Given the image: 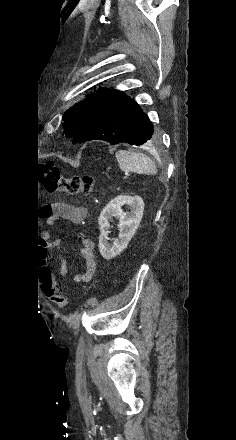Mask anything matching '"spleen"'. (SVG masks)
I'll use <instances>...</instances> for the list:
<instances>
[{
    "label": "spleen",
    "mask_w": 236,
    "mask_h": 440,
    "mask_svg": "<svg viewBox=\"0 0 236 440\" xmlns=\"http://www.w3.org/2000/svg\"><path fill=\"white\" fill-rule=\"evenodd\" d=\"M115 157L119 167L124 172H135L138 174H156L157 167L150 157L143 153L134 151L119 150Z\"/></svg>",
    "instance_id": "3e777b00"
}]
</instances>
